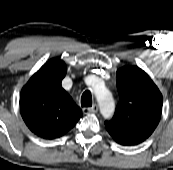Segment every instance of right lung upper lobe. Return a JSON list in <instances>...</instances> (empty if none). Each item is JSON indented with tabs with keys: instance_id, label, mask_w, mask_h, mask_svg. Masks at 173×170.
<instances>
[{
	"instance_id": "obj_1",
	"label": "right lung upper lobe",
	"mask_w": 173,
	"mask_h": 170,
	"mask_svg": "<svg viewBox=\"0 0 173 170\" xmlns=\"http://www.w3.org/2000/svg\"><path fill=\"white\" fill-rule=\"evenodd\" d=\"M66 71L62 60L51 59L21 90L22 118L28 128L41 138L61 137L82 117L81 109L62 88Z\"/></svg>"
}]
</instances>
